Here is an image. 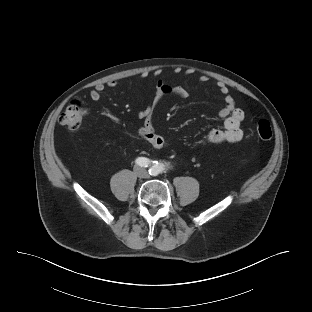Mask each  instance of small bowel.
I'll use <instances>...</instances> for the list:
<instances>
[{
    "label": "small bowel",
    "instance_id": "c3829d8e",
    "mask_svg": "<svg viewBox=\"0 0 312 312\" xmlns=\"http://www.w3.org/2000/svg\"><path fill=\"white\" fill-rule=\"evenodd\" d=\"M190 74V71H186ZM201 82L208 81L207 76L199 78ZM117 86L116 80L109 81L105 84H98L90 91L89 97L93 102H98L101 99V94L106 87L114 88ZM217 89L224 98V106L219 111V116L224 119L223 126L218 129L209 131L202 139L203 144H219V143H235L240 141L244 132L241 123L244 119L243 111L236 107L235 100L230 95L229 88L223 83L216 84ZM156 91L153 103L147 106L144 110L140 111L138 116L143 120L142 126L139 128L138 133L142 139L149 143L155 149H163L167 146V141L164 137L155 132L153 126V113L155 106L158 104L163 96L175 95L180 98H187L188 91L182 86H171L158 80L156 83Z\"/></svg>",
    "mask_w": 312,
    "mask_h": 312
}]
</instances>
